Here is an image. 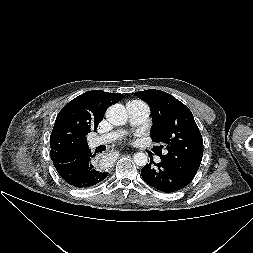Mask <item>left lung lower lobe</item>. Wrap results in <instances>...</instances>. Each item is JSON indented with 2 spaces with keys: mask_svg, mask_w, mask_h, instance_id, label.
Returning <instances> with one entry per match:
<instances>
[{
  "mask_svg": "<svg viewBox=\"0 0 253 253\" xmlns=\"http://www.w3.org/2000/svg\"><path fill=\"white\" fill-rule=\"evenodd\" d=\"M141 175L147 184L165 193L178 191L192 181L162 160L158 164L150 160V163L142 168Z\"/></svg>",
  "mask_w": 253,
  "mask_h": 253,
  "instance_id": "1",
  "label": "left lung lower lobe"
}]
</instances>
